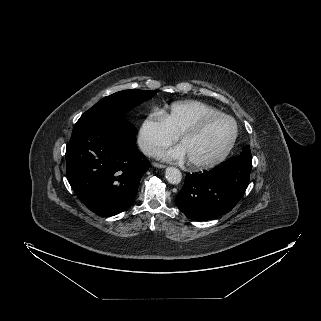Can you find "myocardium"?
Returning a JSON list of instances; mask_svg holds the SVG:
<instances>
[{
  "mask_svg": "<svg viewBox=\"0 0 321 321\" xmlns=\"http://www.w3.org/2000/svg\"><path fill=\"white\" fill-rule=\"evenodd\" d=\"M220 118L227 119V120L231 121L233 124V133H232L230 141L228 142V144L226 145L224 150L216 158H214L210 161L200 162V161L188 160V163L192 168L200 169V170L210 169V168H213V167L219 165L220 163H222L227 158V156L230 154V152L232 151V149L236 143V140L238 137V124L232 116L220 112V113H216V114L206 115V116L200 118L192 125L184 128L177 135V139L179 140V142H181L183 140V138H185L187 136L194 135L197 132H199L207 123H209L215 119H220Z\"/></svg>",
  "mask_w": 321,
  "mask_h": 321,
  "instance_id": "f54148a6",
  "label": "myocardium"
}]
</instances>
